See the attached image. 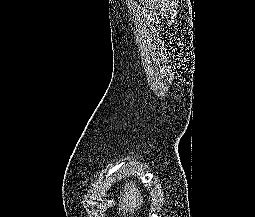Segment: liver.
Here are the masks:
<instances>
[{"instance_id": "1", "label": "liver", "mask_w": 255, "mask_h": 217, "mask_svg": "<svg viewBox=\"0 0 255 217\" xmlns=\"http://www.w3.org/2000/svg\"><path fill=\"white\" fill-rule=\"evenodd\" d=\"M141 191L137 188L136 183L130 181L125 184L123 192L120 191V198L118 204V214L125 215L129 212L130 215L135 214L141 205H143V197Z\"/></svg>"}]
</instances>
